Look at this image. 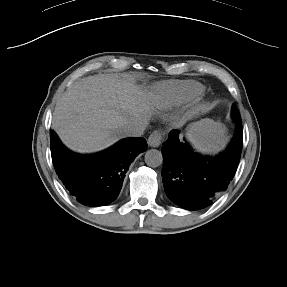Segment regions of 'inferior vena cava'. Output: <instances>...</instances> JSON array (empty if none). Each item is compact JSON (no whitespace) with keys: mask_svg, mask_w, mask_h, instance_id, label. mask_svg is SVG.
I'll list each match as a JSON object with an SVG mask.
<instances>
[{"mask_svg":"<svg viewBox=\"0 0 287 287\" xmlns=\"http://www.w3.org/2000/svg\"><path fill=\"white\" fill-rule=\"evenodd\" d=\"M147 126L148 121L146 119H138L124 125L122 132L125 137H139L144 134Z\"/></svg>","mask_w":287,"mask_h":287,"instance_id":"obj_1","label":"inferior vena cava"}]
</instances>
